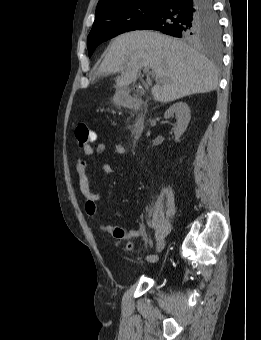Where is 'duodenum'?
<instances>
[{
  "mask_svg": "<svg viewBox=\"0 0 261 340\" xmlns=\"http://www.w3.org/2000/svg\"><path fill=\"white\" fill-rule=\"evenodd\" d=\"M138 107H139V103L135 101V102L132 104V108H133V109H138ZM142 129H143V120H142V119H139V120L133 125V128H132L133 135H135V136L139 135V134L142 132Z\"/></svg>",
  "mask_w": 261,
  "mask_h": 340,
  "instance_id": "1",
  "label": "duodenum"
}]
</instances>
